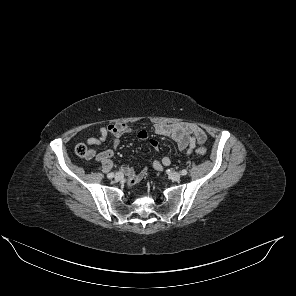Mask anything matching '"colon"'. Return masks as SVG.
Returning <instances> with one entry per match:
<instances>
[{"instance_id": "colon-1", "label": "colon", "mask_w": 296, "mask_h": 296, "mask_svg": "<svg viewBox=\"0 0 296 296\" xmlns=\"http://www.w3.org/2000/svg\"><path fill=\"white\" fill-rule=\"evenodd\" d=\"M196 152L199 155H205L206 149L202 146L196 148ZM75 153L81 158H89L92 155V151L88 149L85 144H78L75 146Z\"/></svg>"}]
</instances>
